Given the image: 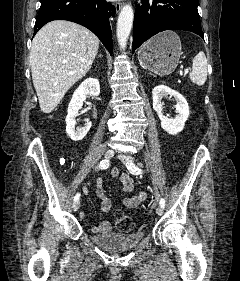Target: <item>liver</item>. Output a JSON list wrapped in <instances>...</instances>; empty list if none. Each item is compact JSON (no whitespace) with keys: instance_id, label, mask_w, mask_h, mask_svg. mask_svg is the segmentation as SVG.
<instances>
[{"instance_id":"liver-1","label":"liver","mask_w":240,"mask_h":281,"mask_svg":"<svg viewBox=\"0 0 240 281\" xmlns=\"http://www.w3.org/2000/svg\"><path fill=\"white\" fill-rule=\"evenodd\" d=\"M99 43L91 31L65 20L51 21L38 31L32 41L30 65L43 113L52 112L65 93L86 75Z\"/></svg>"}]
</instances>
